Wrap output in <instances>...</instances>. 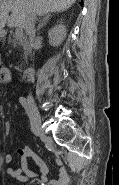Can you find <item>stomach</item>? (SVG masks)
Here are the masks:
<instances>
[{"label": "stomach", "instance_id": "stomach-1", "mask_svg": "<svg viewBox=\"0 0 119 185\" xmlns=\"http://www.w3.org/2000/svg\"><path fill=\"white\" fill-rule=\"evenodd\" d=\"M5 31L3 29H0V38L4 37L5 36Z\"/></svg>", "mask_w": 119, "mask_h": 185}]
</instances>
